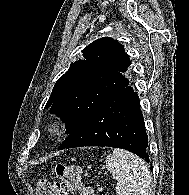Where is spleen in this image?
Returning <instances> with one entry per match:
<instances>
[{
  "label": "spleen",
  "mask_w": 189,
  "mask_h": 195,
  "mask_svg": "<svg viewBox=\"0 0 189 195\" xmlns=\"http://www.w3.org/2000/svg\"><path fill=\"white\" fill-rule=\"evenodd\" d=\"M106 167L117 179L118 195H148L151 176L141 158L126 150L114 149L106 157Z\"/></svg>",
  "instance_id": "spleen-1"
}]
</instances>
